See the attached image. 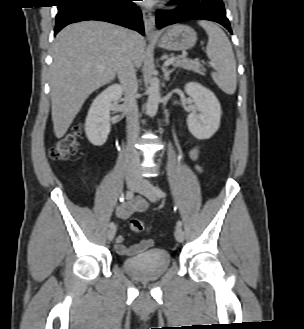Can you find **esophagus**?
I'll return each instance as SVG.
<instances>
[{"label":"esophagus","instance_id":"34e87169","mask_svg":"<svg viewBox=\"0 0 304 329\" xmlns=\"http://www.w3.org/2000/svg\"><path fill=\"white\" fill-rule=\"evenodd\" d=\"M142 14H143V22H144L146 35L148 37L155 36V30H154L155 18L153 14L145 9L142 11Z\"/></svg>","mask_w":304,"mask_h":329}]
</instances>
